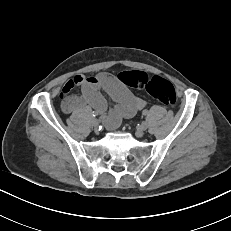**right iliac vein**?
Returning <instances> with one entry per match:
<instances>
[{
	"label": "right iliac vein",
	"instance_id": "63e3f726",
	"mask_svg": "<svg viewBox=\"0 0 231 231\" xmlns=\"http://www.w3.org/2000/svg\"><path fill=\"white\" fill-rule=\"evenodd\" d=\"M92 124H93V127H94L95 129H97V128L99 127V122H98L97 119H94V120L92 121Z\"/></svg>",
	"mask_w": 231,
	"mask_h": 231
}]
</instances>
